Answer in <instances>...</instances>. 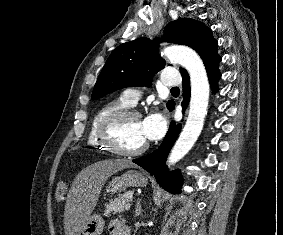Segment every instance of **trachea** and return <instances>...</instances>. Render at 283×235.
Listing matches in <instances>:
<instances>
[{
	"label": "trachea",
	"mask_w": 283,
	"mask_h": 235,
	"mask_svg": "<svg viewBox=\"0 0 283 235\" xmlns=\"http://www.w3.org/2000/svg\"><path fill=\"white\" fill-rule=\"evenodd\" d=\"M171 91L180 92V90H179L178 87H173V88L171 89Z\"/></svg>",
	"instance_id": "trachea-1"
}]
</instances>
